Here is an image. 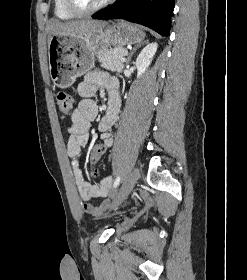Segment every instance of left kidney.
<instances>
[{"label": "left kidney", "instance_id": "5707ae66", "mask_svg": "<svg viewBox=\"0 0 247 280\" xmlns=\"http://www.w3.org/2000/svg\"><path fill=\"white\" fill-rule=\"evenodd\" d=\"M157 43L148 44L138 55L136 59L137 78L145 73L157 51Z\"/></svg>", "mask_w": 247, "mask_h": 280}]
</instances>
